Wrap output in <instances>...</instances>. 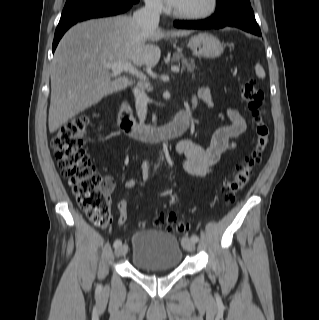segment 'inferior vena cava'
Segmentation results:
<instances>
[{
    "label": "inferior vena cava",
    "instance_id": "1",
    "mask_svg": "<svg viewBox=\"0 0 319 320\" xmlns=\"http://www.w3.org/2000/svg\"><path fill=\"white\" fill-rule=\"evenodd\" d=\"M161 9L162 4L157 0H145V7L134 12L133 19L140 28L154 30L158 27ZM133 93L138 118L143 122L146 118L149 98L139 86L134 87Z\"/></svg>",
    "mask_w": 319,
    "mask_h": 320
}]
</instances>
